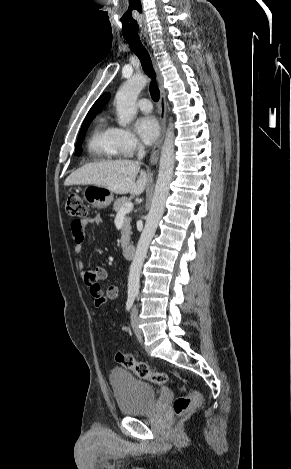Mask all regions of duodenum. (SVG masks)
Here are the masks:
<instances>
[{
  "label": "duodenum",
  "mask_w": 291,
  "mask_h": 469,
  "mask_svg": "<svg viewBox=\"0 0 291 469\" xmlns=\"http://www.w3.org/2000/svg\"><path fill=\"white\" fill-rule=\"evenodd\" d=\"M123 254H124L125 258H127V259L133 258L134 254H135V246L132 245V244L125 245L124 248H123Z\"/></svg>",
  "instance_id": "obj_1"
}]
</instances>
